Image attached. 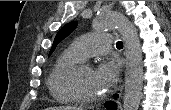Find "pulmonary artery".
Here are the masks:
<instances>
[{
  "instance_id": "obj_1",
  "label": "pulmonary artery",
  "mask_w": 171,
  "mask_h": 110,
  "mask_svg": "<svg viewBox=\"0 0 171 110\" xmlns=\"http://www.w3.org/2000/svg\"><path fill=\"white\" fill-rule=\"evenodd\" d=\"M112 37L109 34L92 33L74 40L72 47L83 57L101 55L109 51Z\"/></svg>"
}]
</instances>
